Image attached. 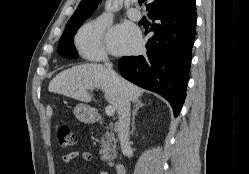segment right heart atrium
I'll use <instances>...</instances> for the list:
<instances>
[{
  "label": "right heart atrium",
  "instance_id": "obj_1",
  "mask_svg": "<svg viewBox=\"0 0 249 174\" xmlns=\"http://www.w3.org/2000/svg\"><path fill=\"white\" fill-rule=\"evenodd\" d=\"M108 26L104 18H97L84 23L79 28L74 43L82 57L91 61H104L107 58L104 37Z\"/></svg>",
  "mask_w": 249,
  "mask_h": 174
}]
</instances>
